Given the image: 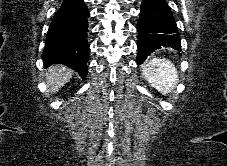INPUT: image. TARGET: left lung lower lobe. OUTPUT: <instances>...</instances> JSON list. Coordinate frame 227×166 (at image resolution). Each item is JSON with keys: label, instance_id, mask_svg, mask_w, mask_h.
Returning <instances> with one entry per match:
<instances>
[{"label": "left lung lower lobe", "instance_id": "0a47b994", "mask_svg": "<svg viewBox=\"0 0 227 166\" xmlns=\"http://www.w3.org/2000/svg\"><path fill=\"white\" fill-rule=\"evenodd\" d=\"M137 30L138 64L161 47L180 50L178 28L166 0L142 1Z\"/></svg>", "mask_w": 227, "mask_h": 166}]
</instances>
